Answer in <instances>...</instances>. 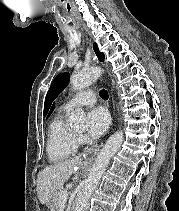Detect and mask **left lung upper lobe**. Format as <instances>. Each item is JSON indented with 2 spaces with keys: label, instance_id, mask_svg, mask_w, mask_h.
Masks as SVG:
<instances>
[{
  "label": "left lung upper lobe",
  "instance_id": "obj_1",
  "mask_svg": "<svg viewBox=\"0 0 179 211\" xmlns=\"http://www.w3.org/2000/svg\"><path fill=\"white\" fill-rule=\"evenodd\" d=\"M93 48L98 59L100 61H104V54L99 51L96 43L93 44ZM68 83L69 73L67 72L61 73L54 78L45 98L44 116L47 114L52 101L58 96V94H60L64 90Z\"/></svg>",
  "mask_w": 179,
  "mask_h": 211
}]
</instances>
